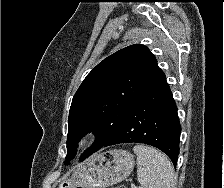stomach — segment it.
Instances as JSON below:
<instances>
[{"instance_id":"obj_1","label":"stomach","mask_w":224,"mask_h":188,"mask_svg":"<svg viewBox=\"0 0 224 188\" xmlns=\"http://www.w3.org/2000/svg\"><path fill=\"white\" fill-rule=\"evenodd\" d=\"M134 156L123 149L98 153L83 163L71 177H63L57 188H106L127 178L134 167Z\"/></svg>"}]
</instances>
